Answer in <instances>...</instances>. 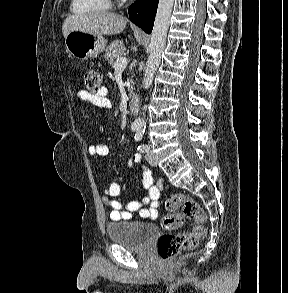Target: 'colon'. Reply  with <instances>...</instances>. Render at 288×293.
<instances>
[{
  "mask_svg": "<svg viewBox=\"0 0 288 293\" xmlns=\"http://www.w3.org/2000/svg\"><path fill=\"white\" fill-rule=\"evenodd\" d=\"M84 84L88 91L98 92L103 87L102 74L93 68H88L84 73ZM165 207L168 213L162 219V226L166 230L180 228L185 219L194 221L195 226L191 231L180 234H164L157 242V251L162 261L173 258L181 250L193 249L205 236V214L199 204L185 194H174L170 196ZM180 209V212L177 210Z\"/></svg>",
  "mask_w": 288,
  "mask_h": 293,
  "instance_id": "5ec220e1",
  "label": "colon"
}]
</instances>
